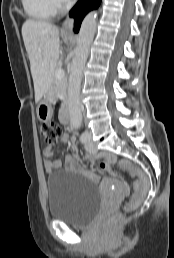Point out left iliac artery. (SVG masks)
<instances>
[{"instance_id": "44dca946", "label": "left iliac artery", "mask_w": 174, "mask_h": 258, "mask_svg": "<svg viewBox=\"0 0 174 258\" xmlns=\"http://www.w3.org/2000/svg\"><path fill=\"white\" fill-rule=\"evenodd\" d=\"M87 139H88L87 134L85 132L82 133L81 136H80V141L82 143H86Z\"/></svg>"}]
</instances>
